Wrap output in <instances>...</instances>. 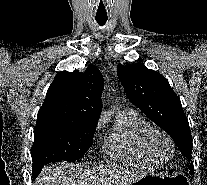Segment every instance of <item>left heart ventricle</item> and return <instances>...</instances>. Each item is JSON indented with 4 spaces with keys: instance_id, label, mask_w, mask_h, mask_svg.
Here are the masks:
<instances>
[{
    "instance_id": "b2bd125f",
    "label": "left heart ventricle",
    "mask_w": 207,
    "mask_h": 185,
    "mask_svg": "<svg viewBox=\"0 0 207 185\" xmlns=\"http://www.w3.org/2000/svg\"><path fill=\"white\" fill-rule=\"evenodd\" d=\"M155 146H156L157 150L159 151V153L163 157L168 158L171 156L172 147H171L170 143L168 141H166L164 138L156 137Z\"/></svg>"
}]
</instances>
